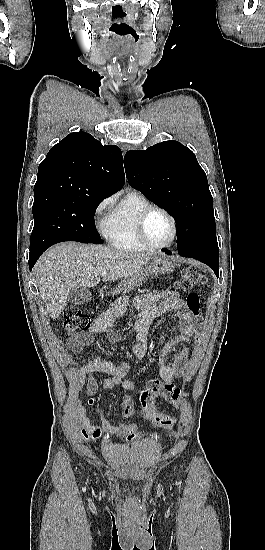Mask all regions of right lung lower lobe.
Returning a JSON list of instances; mask_svg holds the SVG:
<instances>
[{"label":"right lung lower lobe","mask_w":265,"mask_h":550,"mask_svg":"<svg viewBox=\"0 0 265 550\" xmlns=\"http://www.w3.org/2000/svg\"><path fill=\"white\" fill-rule=\"evenodd\" d=\"M44 251H40V252H37V253H30L29 255V268L30 270H32V267L34 266V264L36 263L37 259L40 257V255L43 253Z\"/></svg>","instance_id":"right-lung-lower-lobe-1"}]
</instances>
